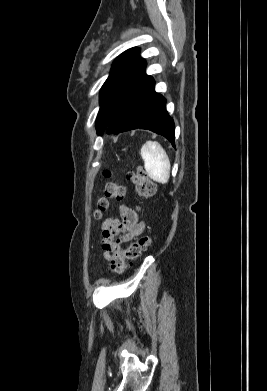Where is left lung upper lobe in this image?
Wrapping results in <instances>:
<instances>
[{"label": "left lung upper lobe", "mask_w": 267, "mask_h": 391, "mask_svg": "<svg viewBox=\"0 0 267 391\" xmlns=\"http://www.w3.org/2000/svg\"><path fill=\"white\" fill-rule=\"evenodd\" d=\"M145 67L146 63L139 56L138 48L125 51L115 60L100 91V110L96 120L98 134H103L119 104L146 76Z\"/></svg>", "instance_id": "obj_1"}]
</instances>
